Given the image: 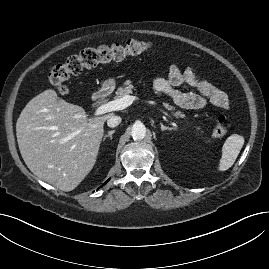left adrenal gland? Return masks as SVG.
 <instances>
[{"label":"left adrenal gland","instance_id":"left-adrenal-gland-1","mask_svg":"<svg viewBox=\"0 0 269 269\" xmlns=\"http://www.w3.org/2000/svg\"><path fill=\"white\" fill-rule=\"evenodd\" d=\"M160 126H161V130L162 131H172V130H175L174 128L164 126L162 123H160Z\"/></svg>","mask_w":269,"mask_h":269}]
</instances>
